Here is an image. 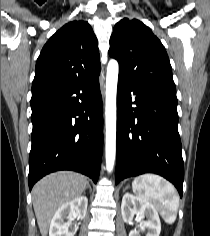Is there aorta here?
Returning a JSON list of instances; mask_svg holds the SVG:
<instances>
[{"mask_svg": "<svg viewBox=\"0 0 210 236\" xmlns=\"http://www.w3.org/2000/svg\"><path fill=\"white\" fill-rule=\"evenodd\" d=\"M119 65L111 59L107 67L106 76V169L111 172L116 157V96Z\"/></svg>", "mask_w": 210, "mask_h": 236, "instance_id": "obj_1", "label": "aorta"}]
</instances>
